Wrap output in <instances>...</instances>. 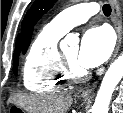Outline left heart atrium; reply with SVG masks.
Listing matches in <instances>:
<instances>
[{"label":"left heart atrium","mask_w":123,"mask_h":113,"mask_svg":"<svg viewBox=\"0 0 123 113\" xmlns=\"http://www.w3.org/2000/svg\"><path fill=\"white\" fill-rule=\"evenodd\" d=\"M113 50V37L105 27L85 31L77 54V63L83 68H94L104 63Z\"/></svg>","instance_id":"obj_1"}]
</instances>
